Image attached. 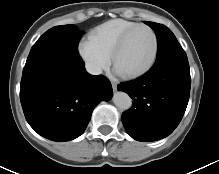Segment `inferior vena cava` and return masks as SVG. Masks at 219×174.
I'll return each instance as SVG.
<instances>
[{
	"instance_id": "obj_1",
	"label": "inferior vena cava",
	"mask_w": 219,
	"mask_h": 174,
	"mask_svg": "<svg viewBox=\"0 0 219 174\" xmlns=\"http://www.w3.org/2000/svg\"><path fill=\"white\" fill-rule=\"evenodd\" d=\"M85 67H86L87 72L92 75H99L102 73L101 68L94 63H87Z\"/></svg>"
}]
</instances>
